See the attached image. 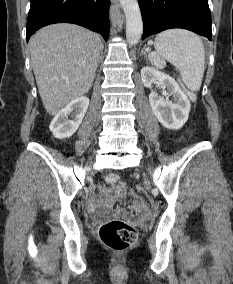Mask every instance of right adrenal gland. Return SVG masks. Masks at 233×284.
<instances>
[{
    "label": "right adrenal gland",
    "instance_id": "right-adrenal-gland-1",
    "mask_svg": "<svg viewBox=\"0 0 233 284\" xmlns=\"http://www.w3.org/2000/svg\"><path fill=\"white\" fill-rule=\"evenodd\" d=\"M101 61H102V52H101V56L99 58V62H101Z\"/></svg>",
    "mask_w": 233,
    "mask_h": 284
}]
</instances>
